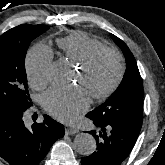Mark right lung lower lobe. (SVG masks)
Masks as SVG:
<instances>
[{"label":"right lung lower lobe","mask_w":165,"mask_h":165,"mask_svg":"<svg viewBox=\"0 0 165 165\" xmlns=\"http://www.w3.org/2000/svg\"><path fill=\"white\" fill-rule=\"evenodd\" d=\"M25 110H0V157L11 165H37L53 143L64 136V126L44 115L31 129L24 125Z\"/></svg>","instance_id":"98d812e1"}]
</instances>
